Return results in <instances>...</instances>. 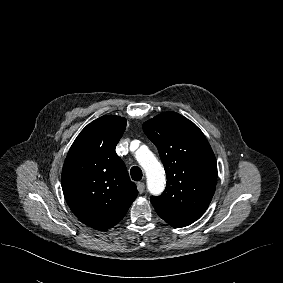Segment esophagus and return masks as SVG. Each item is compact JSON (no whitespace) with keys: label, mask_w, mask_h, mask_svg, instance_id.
Returning <instances> with one entry per match:
<instances>
[{"label":"esophagus","mask_w":283,"mask_h":283,"mask_svg":"<svg viewBox=\"0 0 283 283\" xmlns=\"http://www.w3.org/2000/svg\"><path fill=\"white\" fill-rule=\"evenodd\" d=\"M137 189L140 194H142L145 190V184L143 182H138L137 183Z\"/></svg>","instance_id":"esophagus-1"}]
</instances>
